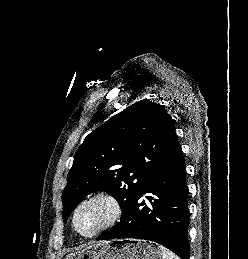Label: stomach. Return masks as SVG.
I'll list each match as a JSON object with an SVG mask.
<instances>
[{"label":"stomach","instance_id":"stomach-1","mask_svg":"<svg viewBox=\"0 0 248 259\" xmlns=\"http://www.w3.org/2000/svg\"><path fill=\"white\" fill-rule=\"evenodd\" d=\"M65 259H163L160 246L138 239L105 241L90 245Z\"/></svg>","mask_w":248,"mask_h":259}]
</instances>
